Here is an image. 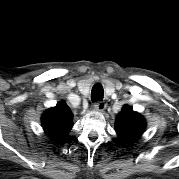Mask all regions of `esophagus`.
Instances as JSON below:
<instances>
[{"label":"esophagus","mask_w":179,"mask_h":179,"mask_svg":"<svg viewBox=\"0 0 179 179\" xmlns=\"http://www.w3.org/2000/svg\"><path fill=\"white\" fill-rule=\"evenodd\" d=\"M105 108H106V103L103 101H97L93 106V109L99 112L104 111Z\"/></svg>","instance_id":"obj_1"}]
</instances>
